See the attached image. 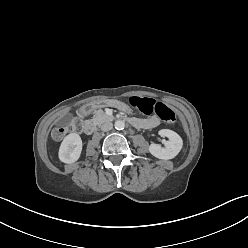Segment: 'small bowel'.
I'll use <instances>...</instances> for the list:
<instances>
[{
  "label": "small bowel",
  "mask_w": 248,
  "mask_h": 248,
  "mask_svg": "<svg viewBox=\"0 0 248 248\" xmlns=\"http://www.w3.org/2000/svg\"><path fill=\"white\" fill-rule=\"evenodd\" d=\"M140 122L139 125H135L141 128H154L159 125V119L155 116L147 119H136Z\"/></svg>",
  "instance_id": "obj_1"
}]
</instances>
